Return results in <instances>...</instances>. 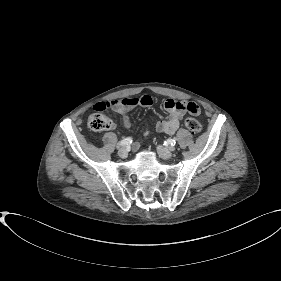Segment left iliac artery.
Here are the masks:
<instances>
[{
	"mask_svg": "<svg viewBox=\"0 0 281 281\" xmlns=\"http://www.w3.org/2000/svg\"><path fill=\"white\" fill-rule=\"evenodd\" d=\"M165 144L174 146L176 144V141L174 139H167L165 141Z\"/></svg>",
	"mask_w": 281,
	"mask_h": 281,
	"instance_id": "obj_1",
	"label": "left iliac artery"
}]
</instances>
